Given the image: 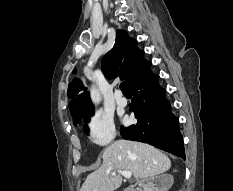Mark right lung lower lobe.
Wrapping results in <instances>:
<instances>
[{
	"instance_id": "obj_1",
	"label": "right lung lower lobe",
	"mask_w": 233,
	"mask_h": 191,
	"mask_svg": "<svg viewBox=\"0 0 233 191\" xmlns=\"http://www.w3.org/2000/svg\"><path fill=\"white\" fill-rule=\"evenodd\" d=\"M151 62L145 60L128 84L133 94L130 110L137 124L121 128L124 139L149 143L156 148L180 156L185 160L184 142L178 127V119L171 113L165 89L158 84L152 73Z\"/></svg>"
}]
</instances>
